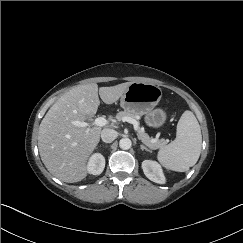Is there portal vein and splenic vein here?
I'll use <instances>...</instances> for the list:
<instances>
[{
  "label": "portal vein and splenic vein",
  "mask_w": 243,
  "mask_h": 243,
  "mask_svg": "<svg viewBox=\"0 0 243 243\" xmlns=\"http://www.w3.org/2000/svg\"><path fill=\"white\" fill-rule=\"evenodd\" d=\"M123 121L124 122L126 121L128 123L133 124L134 130L137 132L138 124L134 119L126 117V118L123 119ZM71 123L74 126L87 128L86 134H88L90 126L95 125V126L103 127V126H106L108 124V120L105 119L104 117H98L91 123L79 121V120H74Z\"/></svg>",
  "instance_id": "18ae733b"
}]
</instances>
